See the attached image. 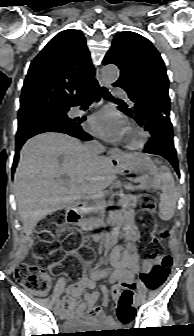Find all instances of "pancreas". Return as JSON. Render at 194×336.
Instances as JSON below:
<instances>
[{
	"label": "pancreas",
	"instance_id": "pancreas-1",
	"mask_svg": "<svg viewBox=\"0 0 194 336\" xmlns=\"http://www.w3.org/2000/svg\"><path fill=\"white\" fill-rule=\"evenodd\" d=\"M128 194L127 195H121L120 201L116 202V209L120 211H132L134 209V206H136L137 203V197L138 194L140 193V190L134 186H128ZM102 207H105V204L102 203ZM101 212L103 213L104 210L101 209ZM97 224L101 225L102 220L99 219L97 220Z\"/></svg>",
	"mask_w": 194,
	"mask_h": 336
}]
</instances>
